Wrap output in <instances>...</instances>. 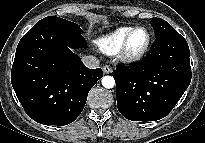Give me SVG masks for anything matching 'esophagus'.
<instances>
[{"label":"esophagus","mask_w":205,"mask_h":143,"mask_svg":"<svg viewBox=\"0 0 205 143\" xmlns=\"http://www.w3.org/2000/svg\"><path fill=\"white\" fill-rule=\"evenodd\" d=\"M102 69H103V72L105 74H110L112 72V68L110 66H108V65L103 66Z\"/></svg>","instance_id":"obj_1"}]
</instances>
